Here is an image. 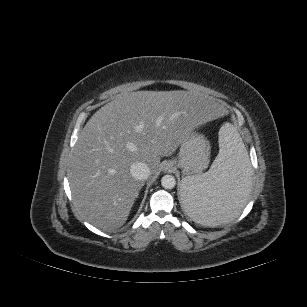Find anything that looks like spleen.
I'll list each match as a JSON object with an SVG mask.
<instances>
[{"instance_id": "1", "label": "spleen", "mask_w": 307, "mask_h": 307, "mask_svg": "<svg viewBox=\"0 0 307 307\" xmlns=\"http://www.w3.org/2000/svg\"><path fill=\"white\" fill-rule=\"evenodd\" d=\"M251 186L249 157L236 129L229 123L219 131V153L203 174L182 179L180 196L187 215L205 226H219L236 218Z\"/></svg>"}]
</instances>
